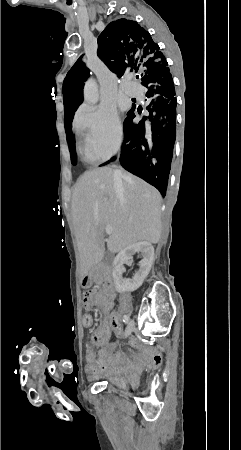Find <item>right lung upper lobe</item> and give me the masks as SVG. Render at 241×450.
I'll return each instance as SVG.
<instances>
[{
    "instance_id": "right-lung-upper-lobe-1",
    "label": "right lung upper lobe",
    "mask_w": 241,
    "mask_h": 450,
    "mask_svg": "<svg viewBox=\"0 0 241 450\" xmlns=\"http://www.w3.org/2000/svg\"><path fill=\"white\" fill-rule=\"evenodd\" d=\"M98 57L118 77L133 70L144 71L152 66L166 64V58L143 27L137 22L119 19L107 25L98 37ZM76 61L68 73L87 79L89 70L81 61ZM142 74V73H141Z\"/></svg>"
}]
</instances>
